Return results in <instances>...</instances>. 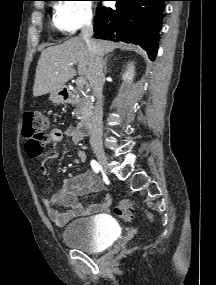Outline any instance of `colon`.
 I'll use <instances>...</instances> for the list:
<instances>
[{"label":"colon","mask_w":216,"mask_h":285,"mask_svg":"<svg viewBox=\"0 0 216 285\" xmlns=\"http://www.w3.org/2000/svg\"><path fill=\"white\" fill-rule=\"evenodd\" d=\"M47 117L39 111H30L24 114L22 134L26 139V150L29 156H39L47 140L46 131L48 129ZM141 208L140 205L131 199L122 200L114 207V214L125 222L132 220L135 209ZM146 215L151 219L152 215L144 210Z\"/></svg>","instance_id":"5ec220e1"}]
</instances>
